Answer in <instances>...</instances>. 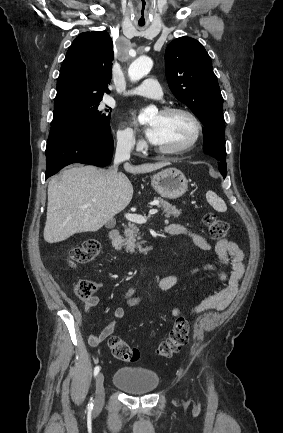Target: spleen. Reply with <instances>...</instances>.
Wrapping results in <instances>:
<instances>
[{
  "label": "spleen",
  "mask_w": 283,
  "mask_h": 433,
  "mask_svg": "<svg viewBox=\"0 0 283 433\" xmlns=\"http://www.w3.org/2000/svg\"><path fill=\"white\" fill-rule=\"evenodd\" d=\"M206 198L207 202H209L215 210H218V212H225V210H227L224 200H222L220 196H217L216 192H213V190H207Z\"/></svg>",
  "instance_id": "obj_1"
}]
</instances>
